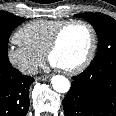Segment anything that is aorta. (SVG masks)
Returning a JSON list of instances; mask_svg holds the SVG:
<instances>
[{"label":"aorta","instance_id":"762f6f07","mask_svg":"<svg viewBox=\"0 0 116 116\" xmlns=\"http://www.w3.org/2000/svg\"><path fill=\"white\" fill-rule=\"evenodd\" d=\"M51 84L55 91L59 93H66L70 89L69 80L62 75H55L51 78Z\"/></svg>","mask_w":116,"mask_h":116}]
</instances>
